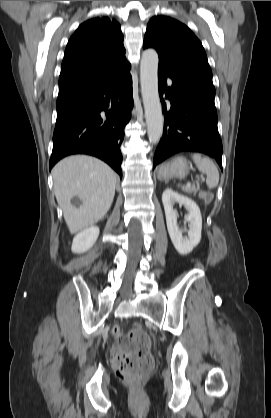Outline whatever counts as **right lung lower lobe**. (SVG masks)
<instances>
[{
    "label": "right lung lower lobe",
    "mask_w": 271,
    "mask_h": 418,
    "mask_svg": "<svg viewBox=\"0 0 271 418\" xmlns=\"http://www.w3.org/2000/svg\"><path fill=\"white\" fill-rule=\"evenodd\" d=\"M129 70L94 94L57 106L50 169L65 156L89 154L104 160L122 177L120 145L133 107ZM109 106L112 109L107 110Z\"/></svg>",
    "instance_id": "obj_1"
}]
</instances>
